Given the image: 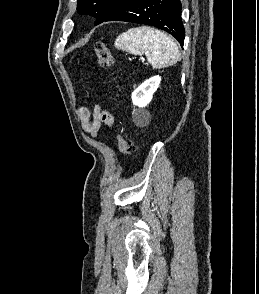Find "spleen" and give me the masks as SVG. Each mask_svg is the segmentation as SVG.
<instances>
[{"mask_svg": "<svg viewBox=\"0 0 259 294\" xmlns=\"http://www.w3.org/2000/svg\"><path fill=\"white\" fill-rule=\"evenodd\" d=\"M114 46L131 54H145L154 69L172 66L180 58L178 47L171 37L146 26L131 28L120 34Z\"/></svg>", "mask_w": 259, "mask_h": 294, "instance_id": "obj_1", "label": "spleen"}]
</instances>
